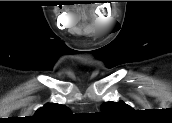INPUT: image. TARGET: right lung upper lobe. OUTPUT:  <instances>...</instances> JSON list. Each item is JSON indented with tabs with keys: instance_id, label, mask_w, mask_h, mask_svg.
<instances>
[{
	"instance_id": "1",
	"label": "right lung upper lobe",
	"mask_w": 172,
	"mask_h": 123,
	"mask_svg": "<svg viewBox=\"0 0 172 123\" xmlns=\"http://www.w3.org/2000/svg\"><path fill=\"white\" fill-rule=\"evenodd\" d=\"M70 110L65 105L48 103L39 108L35 115L32 116V120L40 122H53L70 115Z\"/></svg>"
}]
</instances>
